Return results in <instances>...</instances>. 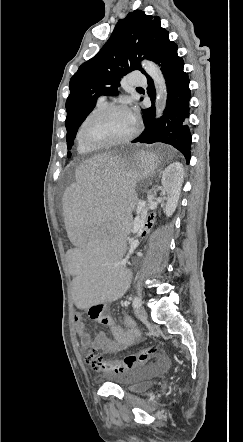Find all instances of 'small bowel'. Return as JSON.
<instances>
[{
	"label": "small bowel",
	"mask_w": 243,
	"mask_h": 442,
	"mask_svg": "<svg viewBox=\"0 0 243 442\" xmlns=\"http://www.w3.org/2000/svg\"><path fill=\"white\" fill-rule=\"evenodd\" d=\"M89 316L104 325H107L112 333L113 339L107 337L103 331H99L94 338L86 331V325L83 315H75V327L78 333L80 343L83 347H91L94 350L103 353H117L135 343L140 332L135 326V322L130 317L123 319L124 328L121 327L113 318L103 314V304L100 307H90Z\"/></svg>",
	"instance_id": "small-bowel-1"
}]
</instances>
